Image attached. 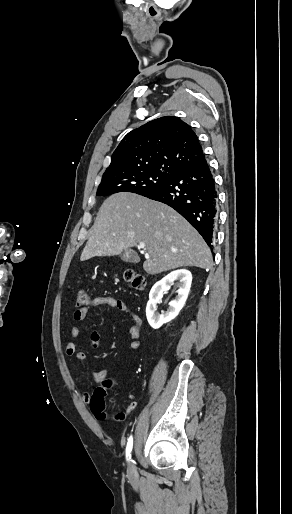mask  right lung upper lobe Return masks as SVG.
<instances>
[{"mask_svg": "<svg viewBox=\"0 0 292 514\" xmlns=\"http://www.w3.org/2000/svg\"><path fill=\"white\" fill-rule=\"evenodd\" d=\"M204 159L191 127L177 117L165 116L129 132L112 154L102 179L145 172L173 175Z\"/></svg>", "mask_w": 292, "mask_h": 514, "instance_id": "right-lung-upper-lobe-1", "label": "right lung upper lobe"}]
</instances>
